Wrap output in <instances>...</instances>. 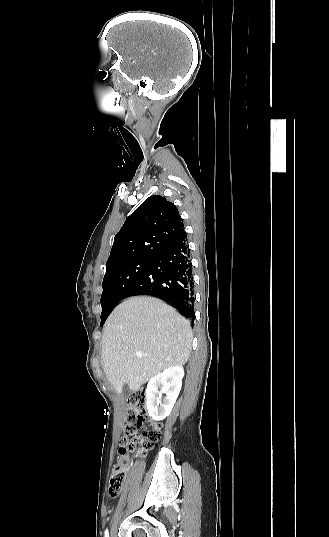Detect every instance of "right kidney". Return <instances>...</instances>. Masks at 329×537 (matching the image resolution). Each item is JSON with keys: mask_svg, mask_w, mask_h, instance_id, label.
<instances>
[{"mask_svg": "<svg viewBox=\"0 0 329 537\" xmlns=\"http://www.w3.org/2000/svg\"><path fill=\"white\" fill-rule=\"evenodd\" d=\"M183 376V367L177 365L151 377L145 396L146 407L153 420L161 421L169 416L179 395ZM162 394H165L163 399Z\"/></svg>", "mask_w": 329, "mask_h": 537, "instance_id": "obj_1", "label": "right kidney"}]
</instances>
